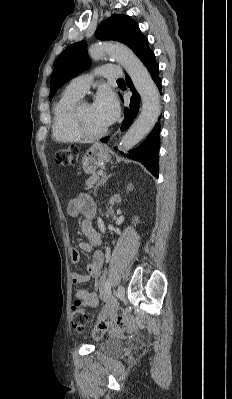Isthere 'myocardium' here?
<instances>
[{"instance_id":"myocardium-1","label":"myocardium","mask_w":232,"mask_h":399,"mask_svg":"<svg viewBox=\"0 0 232 399\" xmlns=\"http://www.w3.org/2000/svg\"><path fill=\"white\" fill-rule=\"evenodd\" d=\"M83 106H88V104L83 103V104L79 105L78 107L75 108L74 113H73V127H74L76 133L82 139L88 140V141H98V140L104 138L105 136H107L110 132L109 128L107 130H105L104 132L98 133V134H92L84 128V126L82 124V120H81V115H80V110Z\"/></svg>"}]
</instances>
